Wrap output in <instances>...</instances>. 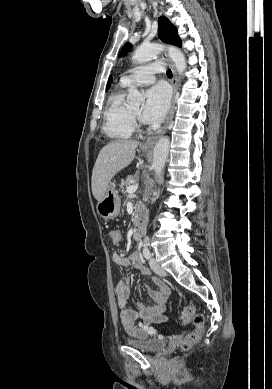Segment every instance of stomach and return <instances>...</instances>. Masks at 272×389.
Returning a JSON list of instances; mask_svg holds the SVG:
<instances>
[{
  "label": "stomach",
  "mask_w": 272,
  "mask_h": 389,
  "mask_svg": "<svg viewBox=\"0 0 272 389\" xmlns=\"http://www.w3.org/2000/svg\"><path fill=\"white\" fill-rule=\"evenodd\" d=\"M147 153L148 150L143 149ZM121 199L115 187L110 184L104 197L97 202V213L104 219H113L120 213Z\"/></svg>",
  "instance_id": "stomach-1"
}]
</instances>
